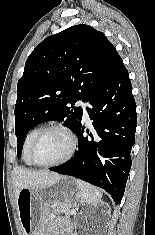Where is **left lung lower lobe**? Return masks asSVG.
<instances>
[{
    "instance_id": "left-lung-lower-lobe-1",
    "label": "left lung lower lobe",
    "mask_w": 155,
    "mask_h": 235,
    "mask_svg": "<svg viewBox=\"0 0 155 235\" xmlns=\"http://www.w3.org/2000/svg\"><path fill=\"white\" fill-rule=\"evenodd\" d=\"M86 110L92 120L93 132L83 135L78 124V150L67 163L51 171L74 176L107 191L120 203L131 168V148L137 126L136 103L123 61L119 58L108 76L95 89Z\"/></svg>"
}]
</instances>
